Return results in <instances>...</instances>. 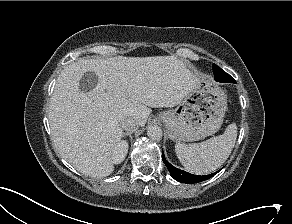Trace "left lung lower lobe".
Returning a JSON list of instances; mask_svg holds the SVG:
<instances>
[{
    "label": "left lung lower lobe",
    "mask_w": 292,
    "mask_h": 224,
    "mask_svg": "<svg viewBox=\"0 0 292 224\" xmlns=\"http://www.w3.org/2000/svg\"><path fill=\"white\" fill-rule=\"evenodd\" d=\"M222 74H223L222 76H215V80L220 81V82H228V81L235 82V80L223 70H222ZM162 159L167 169L169 170L171 176L175 180L181 183H187V184L199 183L201 181L211 178L213 175L217 173L216 172L209 175L199 176V175H193L186 171L180 170L167 162V160L164 157L163 151H162Z\"/></svg>",
    "instance_id": "0a47b994"
}]
</instances>
